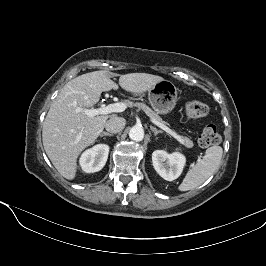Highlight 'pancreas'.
Instances as JSON below:
<instances>
[{
    "instance_id": "1",
    "label": "pancreas",
    "mask_w": 266,
    "mask_h": 266,
    "mask_svg": "<svg viewBox=\"0 0 266 266\" xmlns=\"http://www.w3.org/2000/svg\"><path fill=\"white\" fill-rule=\"evenodd\" d=\"M125 104L129 107H138L141 108L148 117H150L151 119H154L155 121L161 123V124H165L164 121H162L161 117L155 112L153 111L151 108H149L145 103H133L131 101H125ZM183 141H184V145L186 147H192L193 146V142L187 138V137H182Z\"/></svg>"
}]
</instances>
